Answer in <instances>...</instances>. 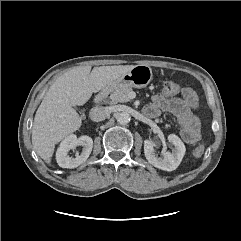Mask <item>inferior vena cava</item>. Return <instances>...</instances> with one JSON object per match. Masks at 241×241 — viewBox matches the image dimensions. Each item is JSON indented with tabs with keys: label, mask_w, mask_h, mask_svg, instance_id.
Masks as SVG:
<instances>
[{
	"label": "inferior vena cava",
	"mask_w": 241,
	"mask_h": 241,
	"mask_svg": "<svg viewBox=\"0 0 241 241\" xmlns=\"http://www.w3.org/2000/svg\"><path fill=\"white\" fill-rule=\"evenodd\" d=\"M109 116V111L102 106L94 107L89 112V117L94 122L105 120Z\"/></svg>",
	"instance_id": "602c4592"
}]
</instances>
